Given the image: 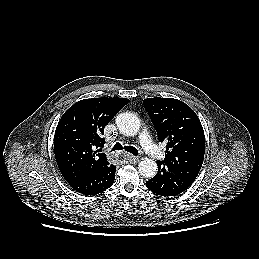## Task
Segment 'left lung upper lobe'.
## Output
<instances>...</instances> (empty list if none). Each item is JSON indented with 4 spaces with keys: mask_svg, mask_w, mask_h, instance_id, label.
Returning <instances> with one entry per match:
<instances>
[{
    "mask_svg": "<svg viewBox=\"0 0 259 259\" xmlns=\"http://www.w3.org/2000/svg\"><path fill=\"white\" fill-rule=\"evenodd\" d=\"M143 104L159 141L167 144L165 159L158 162L193 183L205 152L204 130L196 113L173 98H147Z\"/></svg>",
    "mask_w": 259,
    "mask_h": 259,
    "instance_id": "1",
    "label": "left lung upper lobe"
}]
</instances>
